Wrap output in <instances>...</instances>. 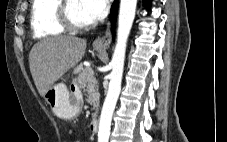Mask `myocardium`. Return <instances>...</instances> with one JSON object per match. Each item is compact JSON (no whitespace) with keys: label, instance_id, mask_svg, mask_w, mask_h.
I'll use <instances>...</instances> for the list:
<instances>
[{"label":"myocardium","instance_id":"1","mask_svg":"<svg viewBox=\"0 0 227 142\" xmlns=\"http://www.w3.org/2000/svg\"><path fill=\"white\" fill-rule=\"evenodd\" d=\"M67 2L68 0H63L58 6L57 18L59 24L68 31H85L90 29L93 26L92 23L80 24L70 16Z\"/></svg>","mask_w":227,"mask_h":142}]
</instances>
